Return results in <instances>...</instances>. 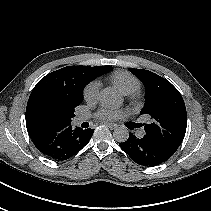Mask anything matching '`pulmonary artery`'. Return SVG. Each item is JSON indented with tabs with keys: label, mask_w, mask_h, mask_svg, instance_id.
<instances>
[{
	"label": "pulmonary artery",
	"mask_w": 211,
	"mask_h": 211,
	"mask_svg": "<svg viewBox=\"0 0 211 211\" xmlns=\"http://www.w3.org/2000/svg\"><path fill=\"white\" fill-rule=\"evenodd\" d=\"M86 116H84V115H79V116H77L76 118H75V123H77V124H79V123H81V122H83L84 120H86ZM139 136L140 137H143L144 136V132L142 131V132H140L139 133Z\"/></svg>",
	"instance_id": "e3ab8cb5"
}]
</instances>
